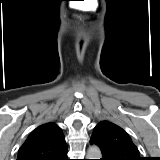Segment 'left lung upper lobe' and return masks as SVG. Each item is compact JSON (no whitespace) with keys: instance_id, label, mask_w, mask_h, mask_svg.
Instances as JSON below:
<instances>
[{"instance_id":"1","label":"left lung upper lobe","mask_w":160,"mask_h":160,"mask_svg":"<svg viewBox=\"0 0 160 160\" xmlns=\"http://www.w3.org/2000/svg\"><path fill=\"white\" fill-rule=\"evenodd\" d=\"M90 140L100 147L108 160H143L128 133L109 121L97 124Z\"/></svg>"}]
</instances>
